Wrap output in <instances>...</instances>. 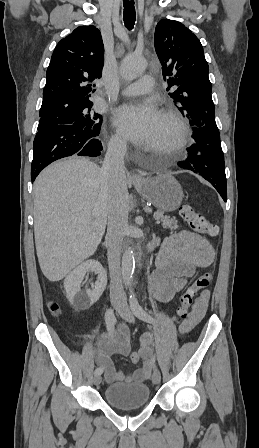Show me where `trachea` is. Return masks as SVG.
Instances as JSON below:
<instances>
[{"instance_id": "1", "label": "trachea", "mask_w": 259, "mask_h": 448, "mask_svg": "<svg viewBox=\"0 0 259 448\" xmlns=\"http://www.w3.org/2000/svg\"><path fill=\"white\" fill-rule=\"evenodd\" d=\"M124 4V13L123 19L127 29L131 30L135 23V7L133 0H123Z\"/></svg>"}]
</instances>
